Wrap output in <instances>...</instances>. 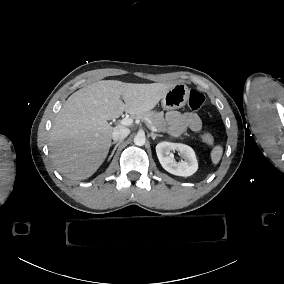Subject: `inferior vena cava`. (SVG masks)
I'll return each mask as SVG.
<instances>
[{"label":"inferior vena cava","instance_id":"obj_1","mask_svg":"<svg viewBox=\"0 0 284 284\" xmlns=\"http://www.w3.org/2000/svg\"><path fill=\"white\" fill-rule=\"evenodd\" d=\"M130 134V130L123 126H116L113 129L112 138L114 141H122Z\"/></svg>","mask_w":284,"mask_h":284}]
</instances>
